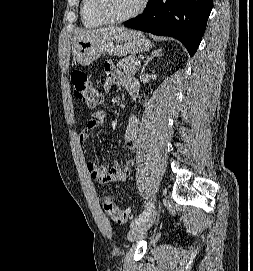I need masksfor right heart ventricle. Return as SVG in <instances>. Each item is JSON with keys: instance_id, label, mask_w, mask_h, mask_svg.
I'll use <instances>...</instances> for the list:
<instances>
[{"instance_id": "e07e8e85", "label": "right heart ventricle", "mask_w": 253, "mask_h": 271, "mask_svg": "<svg viewBox=\"0 0 253 271\" xmlns=\"http://www.w3.org/2000/svg\"><path fill=\"white\" fill-rule=\"evenodd\" d=\"M94 0H82L80 6V17L82 24L86 28H98L106 23L101 20L94 9Z\"/></svg>"}]
</instances>
